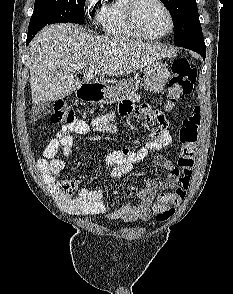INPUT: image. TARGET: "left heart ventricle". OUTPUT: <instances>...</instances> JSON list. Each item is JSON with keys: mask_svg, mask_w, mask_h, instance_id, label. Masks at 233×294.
Instances as JSON below:
<instances>
[{"mask_svg": "<svg viewBox=\"0 0 233 294\" xmlns=\"http://www.w3.org/2000/svg\"><path fill=\"white\" fill-rule=\"evenodd\" d=\"M139 22L145 32L158 35L169 27L168 17L162 7L153 0H145L138 13Z\"/></svg>", "mask_w": 233, "mask_h": 294, "instance_id": "b2bd125f", "label": "left heart ventricle"}]
</instances>
